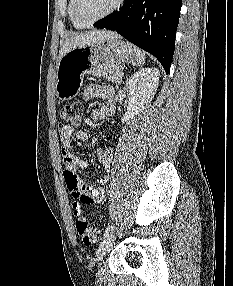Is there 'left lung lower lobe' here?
I'll return each mask as SVG.
<instances>
[{
	"instance_id": "1",
	"label": "left lung lower lobe",
	"mask_w": 233,
	"mask_h": 286,
	"mask_svg": "<svg viewBox=\"0 0 233 286\" xmlns=\"http://www.w3.org/2000/svg\"><path fill=\"white\" fill-rule=\"evenodd\" d=\"M182 0H125L123 7L94 23L116 30L154 55L169 73Z\"/></svg>"
}]
</instances>
